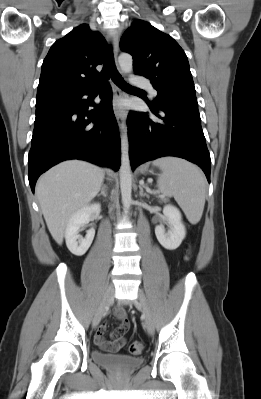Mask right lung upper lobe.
<instances>
[{
    "label": "right lung upper lobe",
    "mask_w": 261,
    "mask_h": 399,
    "mask_svg": "<svg viewBox=\"0 0 261 399\" xmlns=\"http://www.w3.org/2000/svg\"><path fill=\"white\" fill-rule=\"evenodd\" d=\"M105 51L104 37L87 24L57 40L42 64L36 105L89 90L88 78L98 75L96 66L103 63Z\"/></svg>",
    "instance_id": "cb5924a9"
}]
</instances>
